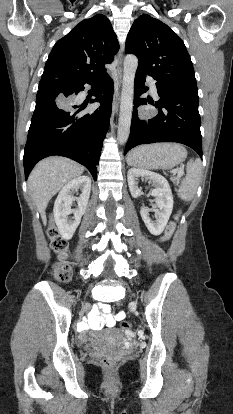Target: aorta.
<instances>
[{
    "label": "aorta",
    "mask_w": 233,
    "mask_h": 414,
    "mask_svg": "<svg viewBox=\"0 0 233 414\" xmlns=\"http://www.w3.org/2000/svg\"><path fill=\"white\" fill-rule=\"evenodd\" d=\"M137 67V57L132 54L126 55L124 59L123 83L117 132V140L120 144L126 143L130 134L134 95V78Z\"/></svg>",
    "instance_id": "aorta-1"
}]
</instances>
